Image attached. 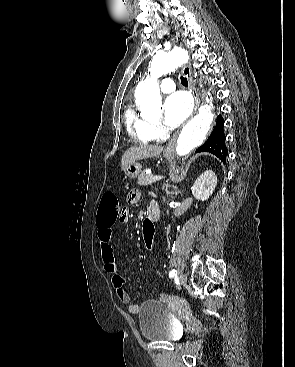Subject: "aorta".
Here are the masks:
<instances>
[{
  "mask_svg": "<svg viewBox=\"0 0 295 367\" xmlns=\"http://www.w3.org/2000/svg\"><path fill=\"white\" fill-rule=\"evenodd\" d=\"M187 58V52L180 48L158 52L153 57L150 66L151 78L140 83L135 92V101L142 117H161L162 103L156 80L184 64ZM212 108V104L201 106L198 114L182 128L176 142V152L179 156L188 154L205 140L214 119Z\"/></svg>",
  "mask_w": 295,
  "mask_h": 367,
  "instance_id": "obj_1",
  "label": "aorta"
}]
</instances>
